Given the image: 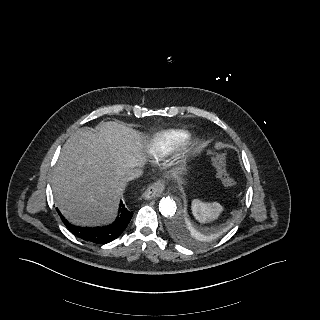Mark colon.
<instances>
[{"label": "colon", "mask_w": 320, "mask_h": 320, "mask_svg": "<svg viewBox=\"0 0 320 320\" xmlns=\"http://www.w3.org/2000/svg\"><path fill=\"white\" fill-rule=\"evenodd\" d=\"M215 165L217 176L220 179L221 183L225 187H232L235 185L234 179L231 177L228 168L227 161L224 154H217L215 157Z\"/></svg>", "instance_id": "colon-1"}]
</instances>
